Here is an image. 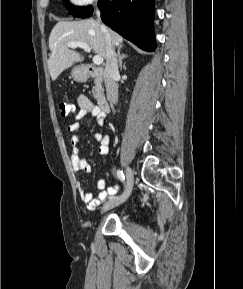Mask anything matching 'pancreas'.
<instances>
[{
    "mask_svg": "<svg viewBox=\"0 0 243 289\" xmlns=\"http://www.w3.org/2000/svg\"><path fill=\"white\" fill-rule=\"evenodd\" d=\"M93 97L99 99L102 93V81L100 78L94 80V86L92 88Z\"/></svg>",
    "mask_w": 243,
    "mask_h": 289,
    "instance_id": "obj_1",
    "label": "pancreas"
}]
</instances>
